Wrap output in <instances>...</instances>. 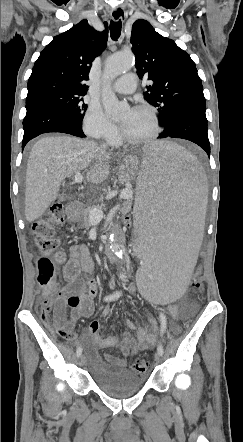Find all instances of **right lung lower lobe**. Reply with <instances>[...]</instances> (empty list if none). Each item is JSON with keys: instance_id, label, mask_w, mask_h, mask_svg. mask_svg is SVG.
<instances>
[{"instance_id": "98d812e1", "label": "right lung lower lobe", "mask_w": 243, "mask_h": 442, "mask_svg": "<svg viewBox=\"0 0 243 442\" xmlns=\"http://www.w3.org/2000/svg\"><path fill=\"white\" fill-rule=\"evenodd\" d=\"M26 116L23 120L24 136L22 148L33 138L48 132L67 133L85 137L79 124L61 105L50 100L26 101Z\"/></svg>"}]
</instances>
